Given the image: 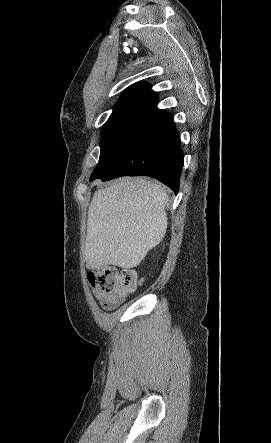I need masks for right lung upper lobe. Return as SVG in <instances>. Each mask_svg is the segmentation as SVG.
I'll return each mask as SVG.
<instances>
[{
  "label": "right lung upper lobe",
  "instance_id": "cb5924a9",
  "mask_svg": "<svg viewBox=\"0 0 271 443\" xmlns=\"http://www.w3.org/2000/svg\"><path fill=\"white\" fill-rule=\"evenodd\" d=\"M118 103H149L157 104V95L145 82L137 83L128 88L119 98Z\"/></svg>",
  "mask_w": 271,
  "mask_h": 443
}]
</instances>
